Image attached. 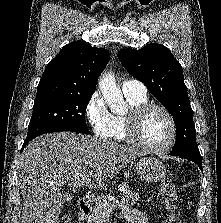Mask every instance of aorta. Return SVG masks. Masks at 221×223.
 Instances as JSON below:
<instances>
[{
	"label": "aorta",
	"instance_id": "762f6f07",
	"mask_svg": "<svg viewBox=\"0 0 221 223\" xmlns=\"http://www.w3.org/2000/svg\"><path fill=\"white\" fill-rule=\"evenodd\" d=\"M99 87L111 112L120 114L127 110V103L123 99L120 88L116 85V80L113 74H103L99 80Z\"/></svg>",
	"mask_w": 221,
	"mask_h": 223
}]
</instances>
